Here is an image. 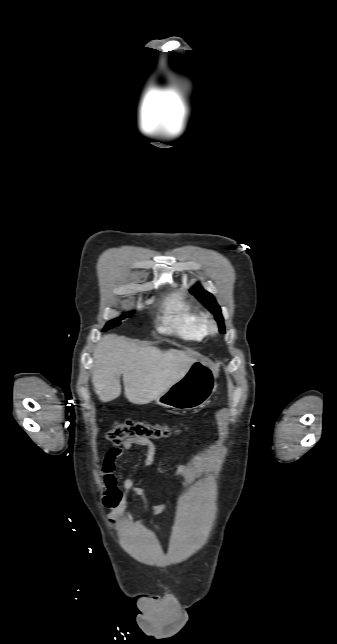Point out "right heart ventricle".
I'll list each match as a JSON object with an SVG mask.
<instances>
[{
	"label": "right heart ventricle",
	"instance_id": "obj_1",
	"mask_svg": "<svg viewBox=\"0 0 337 644\" xmlns=\"http://www.w3.org/2000/svg\"><path fill=\"white\" fill-rule=\"evenodd\" d=\"M161 330L190 341L199 342L206 336V318L181 291L173 292L164 303Z\"/></svg>",
	"mask_w": 337,
	"mask_h": 644
}]
</instances>
